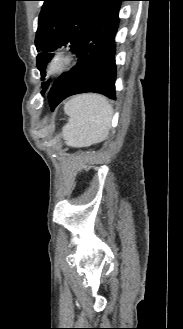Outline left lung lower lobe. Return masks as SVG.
<instances>
[{"instance_id": "obj_1", "label": "left lung lower lobe", "mask_w": 183, "mask_h": 329, "mask_svg": "<svg viewBox=\"0 0 183 329\" xmlns=\"http://www.w3.org/2000/svg\"><path fill=\"white\" fill-rule=\"evenodd\" d=\"M122 1L103 13L81 39L77 64L63 73L49 91V103L56 107L63 99L78 93L96 92L115 99L116 41Z\"/></svg>"}]
</instances>
